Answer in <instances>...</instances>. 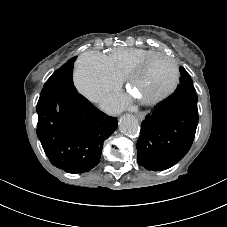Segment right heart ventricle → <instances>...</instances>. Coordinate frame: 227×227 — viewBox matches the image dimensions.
Instances as JSON below:
<instances>
[{
  "mask_svg": "<svg viewBox=\"0 0 227 227\" xmlns=\"http://www.w3.org/2000/svg\"><path fill=\"white\" fill-rule=\"evenodd\" d=\"M155 52L152 49L119 47L109 52L107 58L115 73L126 78L138 62Z\"/></svg>",
  "mask_w": 227,
  "mask_h": 227,
  "instance_id": "right-heart-ventricle-1",
  "label": "right heart ventricle"
}]
</instances>
